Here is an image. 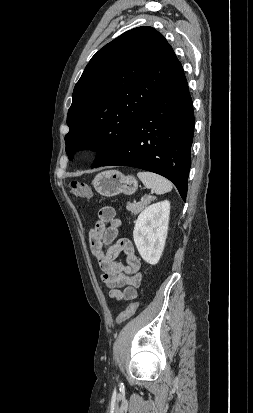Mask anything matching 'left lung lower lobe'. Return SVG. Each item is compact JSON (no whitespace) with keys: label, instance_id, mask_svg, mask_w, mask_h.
Instances as JSON below:
<instances>
[{"label":"left lung lower lobe","instance_id":"left-lung-lower-lobe-1","mask_svg":"<svg viewBox=\"0 0 253 413\" xmlns=\"http://www.w3.org/2000/svg\"><path fill=\"white\" fill-rule=\"evenodd\" d=\"M194 124L192 99L178 61L124 144L101 166H130L160 174L186 200Z\"/></svg>","mask_w":253,"mask_h":413}]
</instances>
